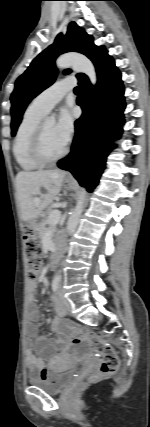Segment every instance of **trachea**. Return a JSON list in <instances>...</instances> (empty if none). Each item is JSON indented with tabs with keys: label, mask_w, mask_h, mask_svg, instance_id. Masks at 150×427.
Segmentation results:
<instances>
[{
	"label": "trachea",
	"mask_w": 150,
	"mask_h": 427,
	"mask_svg": "<svg viewBox=\"0 0 150 427\" xmlns=\"http://www.w3.org/2000/svg\"><path fill=\"white\" fill-rule=\"evenodd\" d=\"M79 90H80V89H79V87H76V88L74 89V92H75V93H78V92H79Z\"/></svg>",
	"instance_id": "1"
}]
</instances>
